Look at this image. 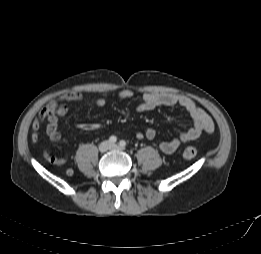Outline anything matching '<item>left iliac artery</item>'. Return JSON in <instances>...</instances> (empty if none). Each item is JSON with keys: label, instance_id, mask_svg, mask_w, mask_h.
<instances>
[{"label": "left iliac artery", "instance_id": "obj_1", "mask_svg": "<svg viewBox=\"0 0 261 254\" xmlns=\"http://www.w3.org/2000/svg\"><path fill=\"white\" fill-rule=\"evenodd\" d=\"M119 145H120V147L124 148V147L126 146V142L123 141V140H121V141L119 142Z\"/></svg>", "mask_w": 261, "mask_h": 254}]
</instances>
